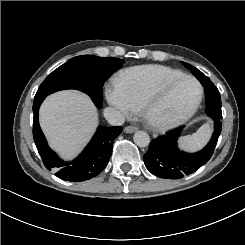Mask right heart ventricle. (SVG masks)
Masks as SVG:
<instances>
[{"instance_id":"right-heart-ventricle-1","label":"right heart ventricle","mask_w":245,"mask_h":245,"mask_svg":"<svg viewBox=\"0 0 245 245\" xmlns=\"http://www.w3.org/2000/svg\"><path fill=\"white\" fill-rule=\"evenodd\" d=\"M182 75V72L169 67L142 66L130 70L125 77L115 81L113 87L133 108H138L141 106L143 95L155 81Z\"/></svg>"}]
</instances>
